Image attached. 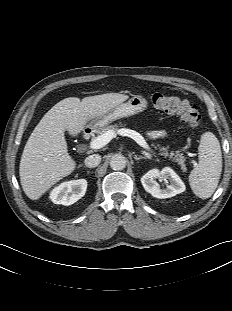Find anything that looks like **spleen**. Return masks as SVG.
I'll return each mask as SVG.
<instances>
[{
    "mask_svg": "<svg viewBox=\"0 0 232 311\" xmlns=\"http://www.w3.org/2000/svg\"><path fill=\"white\" fill-rule=\"evenodd\" d=\"M222 172V153L212 132L202 134L199 144V163L190 172L189 184L193 193L207 199L215 192Z\"/></svg>",
    "mask_w": 232,
    "mask_h": 311,
    "instance_id": "1",
    "label": "spleen"
}]
</instances>
